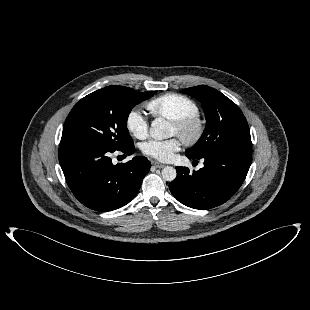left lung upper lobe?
<instances>
[{
	"instance_id": "5c2ea615",
	"label": "left lung upper lobe",
	"mask_w": 310,
	"mask_h": 310,
	"mask_svg": "<svg viewBox=\"0 0 310 310\" xmlns=\"http://www.w3.org/2000/svg\"><path fill=\"white\" fill-rule=\"evenodd\" d=\"M181 92L202 103L207 123L204 134L186 154L201 159L223 150H251L247 120L233 101L206 85L187 88Z\"/></svg>"
}]
</instances>
